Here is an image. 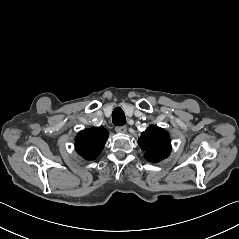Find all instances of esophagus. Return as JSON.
<instances>
[{"mask_svg": "<svg viewBox=\"0 0 239 239\" xmlns=\"http://www.w3.org/2000/svg\"><path fill=\"white\" fill-rule=\"evenodd\" d=\"M115 131H116L117 133H126L127 127H126V126H117V127L115 128Z\"/></svg>", "mask_w": 239, "mask_h": 239, "instance_id": "obj_1", "label": "esophagus"}]
</instances>
